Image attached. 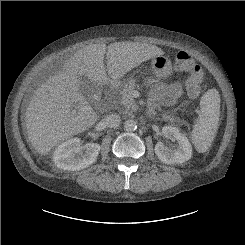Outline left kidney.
<instances>
[{"instance_id":"5707ae66","label":"left kidney","mask_w":245,"mask_h":245,"mask_svg":"<svg viewBox=\"0 0 245 245\" xmlns=\"http://www.w3.org/2000/svg\"><path fill=\"white\" fill-rule=\"evenodd\" d=\"M162 134L178 143L175 149L165 147L162 142L155 145V154L163 163L181 164L192 157V145L186 135L181 133L178 128L164 126Z\"/></svg>"}]
</instances>
